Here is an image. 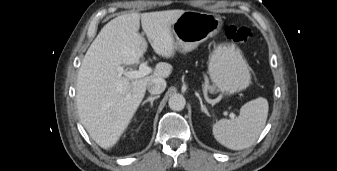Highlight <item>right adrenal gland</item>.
I'll use <instances>...</instances> for the list:
<instances>
[{"label": "right adrenal gland", "instance_id": "right-adrenal-gland-1", "mask_svg": "<svg viewBox=\"0 0 337 171\" xmlns=\"http://www.w3.org/2000/svg\"><path fill=\"white\" fill-rule=\"evenodd\" d=\"M159 97H160L159 95L148 97L145 101H143L142 105L146 104L147 102H150L151 107H153L154 100L158 99Z\"/></svg>", "mask_w": 337, "mask_h": 171}]
</instances>
